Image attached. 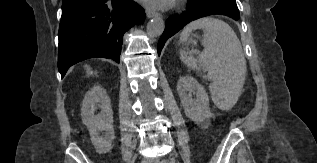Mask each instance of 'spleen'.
I'll use <instances>...</instances> for the list:
<instances>
[{
	"label": "spleen",
	"mask_w": 317,
	"mask_h": 163,
	"mask_svg": "<svg viewBox=\"0 0 317 163\" xmlns=\"http://www.w3.org/2000/svg\"><path fill=\"white\" fill-rule=\"evenodd\" d=\"M196 29L205 32L204 50L197 59L180 50L181 60L194 70L200 63L211 81L209 90L214 104L221 110H230L242 92L247 70L241 43L227 23L212 17L188 24L181 33L180 41H186Z\"/></svg>",
	"instance_id": "obj_1"
}]
</instances>
